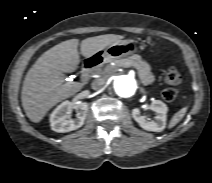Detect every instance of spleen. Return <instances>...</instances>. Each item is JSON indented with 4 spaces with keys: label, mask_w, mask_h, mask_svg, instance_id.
I'll list each match as a JSON object with an SVG mask.
<instances>
[{
    "label": "spleen",
    "mask_w": 212,
    "mask_h": 183,
    "mask_svg": "<svg viewBox=\"0 0 212 183\" xmlns=\"http://www.w3.org/2000/svg\"><path fill=\"white\" fill-rule=\"evenodd\" d=\"M187 109H188V105L181 108L177 113H175L172 119L170 120L168 127L173 128L179 121H181L182 118L185 116Z\"/></svg>",
    "instance_id": "obj_1"
}]
</instances>
